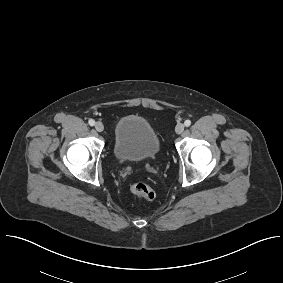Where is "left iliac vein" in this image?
Segmentation results:
<instances>
[{
	"mask_svg": "<svg viewBox=\"0 0 283 283\" xmlns=\"http://www.w3.org/2000/svg\"><path fill=\"white\" fill-rule=\"evenodd\" d=\"M184 128H185L184 124L178 123L175 127V131L177 134H181L184 131Z\"/></svg>",
	"mask_w": 283,
	"mask_h": 283,
	"instance_id": "4c4485c4",
	"label": "left iliac vein"
}]
</instances>
